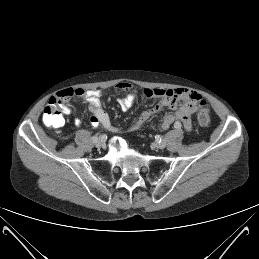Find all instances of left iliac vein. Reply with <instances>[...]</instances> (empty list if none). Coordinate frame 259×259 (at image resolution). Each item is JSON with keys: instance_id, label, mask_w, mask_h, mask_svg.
Masks as SVG:
<instances>
[{"instance_id": "4c4485c4", "label": "left iliac vein", "mask_w": 259, "mask_h": 259, "mask_svg": "<svg viewBox=\"0 0 259 259\" xmlns=\"http://www.w3.org/2000/svg\"><path fill=\"white\" fill-rule=\"evenodd\" d=\"M166 141L165 140H162V141H160L158 144H157V146H158V148L159 149H164L165 147H166Z\"/></svg>"}]
</instances>
